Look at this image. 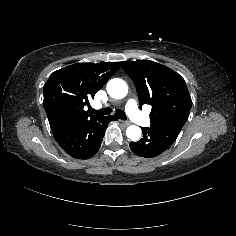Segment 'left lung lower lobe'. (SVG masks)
Wrapping results in <instances>:
<instances>
[{"label":"left lung lower lobe","instance_id":"0a47b994","mask_svg":"<svg viewBox=\"0 0 236 236\" xmlns=\"http://www.w3.org/2000/svg\"><path fill=\"white\" fill-rule=\"evenodd\" d=\"M143 138L130 142L131 150L140 157L153 158L167 150L176 140L180 131L168 128L144 127Z\"/></svg>","mask_w":236,"mask_h":236}]
</instances>
